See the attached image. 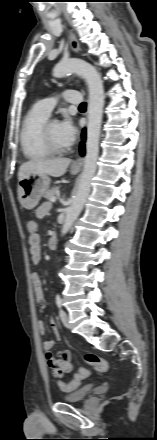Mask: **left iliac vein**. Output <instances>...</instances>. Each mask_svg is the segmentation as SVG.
I'll list each match as a JSON object with an SVG mask.
<instances>
[{"instance_id":"1","label":"left iliac vein","mask_w":157,"mask_h":440,"mask_svg":"<svg viewBox=\"0 0 157 440\" xmlns=\"http://www.w3.org/2000/svg\"><path fill=\"white\" fill-rule=\"evenodd\" d=\"M59 315H60V319H61L62 323L65 325V327L70 328L69 317H68L67 312L64 311L63 309H60Z\"/></svg>"}]
</instances>
